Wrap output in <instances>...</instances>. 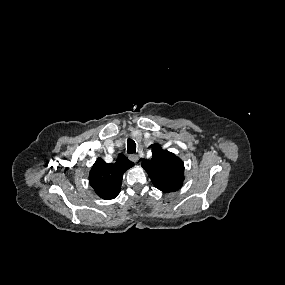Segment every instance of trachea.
Instances as JSON below:
<instances>
[{
    "label": "trachea",
    "instance_id": "1",
    "mask_svg": "<svg viewBox=\"0 0 285 285\" xmlns=\"http://www.w3.org/2000/svg\"><path fill=\"white\" fill-rule=\"evenodd\" d=\"M136 152V144L132 139L127 140V153L133 154Z\"/></svg>",
    "mask_w": 285,
    "mask_h": 285
}]
</instances>
